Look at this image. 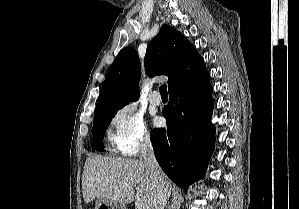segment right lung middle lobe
Masks as SVG:
<instances>
[{
    "instance_id": "dd1d6c3e",
    "label": "right lung middle lobe",
    "mask_w": 299,
    "mask_h": 209,
    "mask_svg": "<svg viewBox=\"0 0 299 209\" xmlns=\"http://www.w3.org/2000/svg\"><path fill=\"white\" fill-rule=\"evenodd\" d=\"M117 110L94 115L93 120V139H92V150L103 151L102 141L104 133L108 128L111 119L115 116Z\"/></svg>"
}]
</instances>
